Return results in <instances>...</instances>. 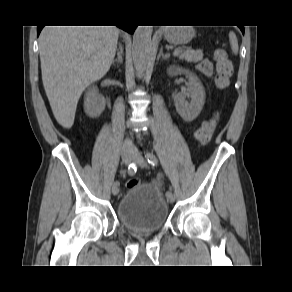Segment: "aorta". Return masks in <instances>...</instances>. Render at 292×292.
Listing matches in <instances>:
<instances>
[{"instance_id":"obj_1","label":"aorta","mask_w":292,"mask_h":292,"mask_svg":"<svg viewBox=\"0 0 292 292\" xmlns=\"http://www.w3.org/2000/svg\"><path fill=\"white\" fill-rule=\"evenodd\" d=\"M152 26H137L133 35L132 58L139 73L145 71L151 50Z\"/></svg>"}]
</instances>
